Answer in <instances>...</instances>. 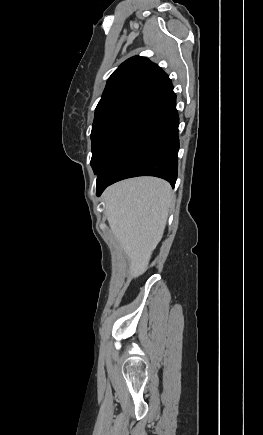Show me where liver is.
I'll list each match as a JSON object with an SVG mask.
<instances>
[{
	"label": "liver",
	"instance_id": "liver-1",
	"mask_svg": "<svg viewBox=\"0 0 263 435\" xmlns=\"http://www.w3.org/2000/svg\"><path fill=\"white\" fill-rule=\"evenodd\" d=\"M109 226L131 261L130 274L142 275L162 239L172 189L153 177L133 178L110 186L103 194Z\"/></svg>",
	"mask_w": 263,
	"mask_h": 435
}]
</instances>
